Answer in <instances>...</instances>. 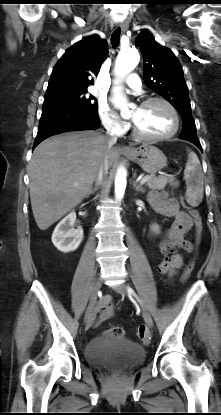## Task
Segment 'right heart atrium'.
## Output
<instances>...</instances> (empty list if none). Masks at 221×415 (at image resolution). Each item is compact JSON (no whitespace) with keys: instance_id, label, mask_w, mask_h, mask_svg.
I'll use <instances>...</instances> for the list:
<instances>
[{"instance_id":"right-heart-atrium-1","label":"right heart atrium","mask_w":221,"mask_h":415,"mask_svg":"<svg viewBox=\"0 0 221 415\" xmlns=\"http://www.w3.org/2000/svg\"><path fill=\"white\" fill-rule=\"evenodd\" d=\"M98 114L102 125L111 135L121 136L127 131L128 124L113 113L106 104H99Z\"/></svg>"}]
</instances>
